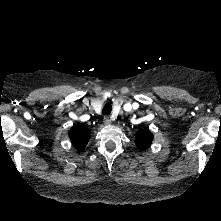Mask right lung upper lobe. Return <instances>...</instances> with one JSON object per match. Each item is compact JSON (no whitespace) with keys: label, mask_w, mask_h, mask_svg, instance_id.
<instances>
[{"label":"right lung upper lobe","mask_w":221,"mask_h":221,"mask_svg":"<svg viewBox=\"0 0 221 221\" xmlns=\"http://www.w3.org/2000/svg\"><path fill=\"white\" fill-rule=\"evenodd\" d=\"M90 130L81 124L75 125L69 132V137L78 151H82L89 140Z\"/></svg>","instance_id":"right-lung-upper-lobe-1"}]
</instances>
